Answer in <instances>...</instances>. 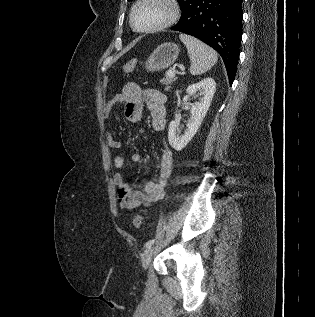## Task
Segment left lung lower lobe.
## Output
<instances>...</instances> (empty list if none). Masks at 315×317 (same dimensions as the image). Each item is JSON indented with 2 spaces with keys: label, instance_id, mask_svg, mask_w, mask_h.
<instances>
[{
  "label": "left lung lower lobe",
  "instance_id": "0a47b994",
  "mask_svg": "<svg viewBox=\"0 0 315 317\" xmlns=\"http://www.w3.org/2000/svg\"><path fill=\"white\" fill-rule=\"evenodd\" d=\"M243 0H193L171 30L192 35L222 57L233 83L242 37Z\"/></svg>",
  "mask_w": 315,
  "mask_h": 317
}]
</instances>
